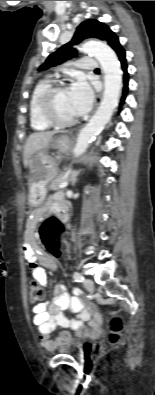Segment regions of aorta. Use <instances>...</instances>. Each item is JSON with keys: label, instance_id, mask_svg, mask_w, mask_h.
Instances as JSON below:
<instances>
[{"label": "aorta", "instance_id": "obj_1", "mask_svg": "<svg viewBox=\"0 0 155 395\" xmlns=\"http://www.w3.org/2000/svg\"><path fill=\"white\" fill-rule=\"evenodd\" d=\"M79 50L85 54L93 55L99 61L104 72V94L99 108L77 137L73 150L76 157L86 151L92 139L111 119L118 105L122 88L120 63L115 52L109 46L100 42L89 41L84 43Z\"/></svg>", "mask_w": 155, "mask_h": 395}]
</instances>
